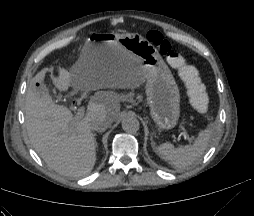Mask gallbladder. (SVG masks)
<instances>
[{"instance_id":"bac80fb5","label":"gallbladder","mask_w":254,"mask_h":216,"mask_svg":"<svg viewBox=\"0 0 254 216\" xmlns=\"http://www.w3.org/2000/svg\"><path fill=\"white\" fill-rule=\"evenodd\" d=\"M36 91L40 95H49L48 89L44 84H40V86L38 88H36Z\"/></svg>"}]
</instances>
